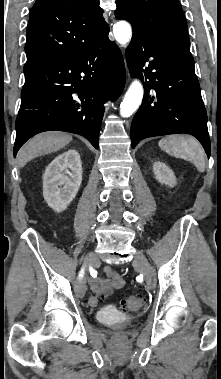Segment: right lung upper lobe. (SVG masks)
I'll return each instance as SVG.
<instances>
[{
    "label": "right lung upper lobe",
    "mask_w": 221,
    "mask_h": 379,
    "mask_svg": "<svg viewBox=\"0 0 221 379\" xmlns=\"http://www.w3.org/2000/svg\"><path fill=\"white\" fill-rule=\"evenodd\" d=\"M99 0H36L28 22L24 70L80 50L109 31Z\"/></svg>",
    "instance_id": "obj_1"
}]
</instances>
